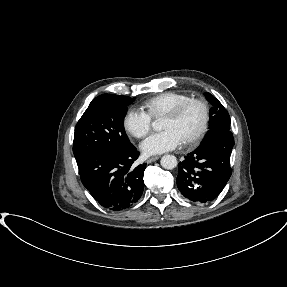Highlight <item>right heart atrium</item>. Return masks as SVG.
<instances>
[{
	"label": "right heart atrium",
	"mask_w": 287,
	"mask_h": 287,
	"mask_svg": "<svg viewBox=\"0 0 287 287\" xmlns=\"http://www.w3.org/2000/svg\"><path fill=\"white\" fill-rule=\"evenodd\" d=\"M123 126L128 134L140 139L149 133L152 119L142 109L130 108L124 116Z\"/></svg>",
	"instance_id": "right-heart-atrium-1"
}]
</instances>
